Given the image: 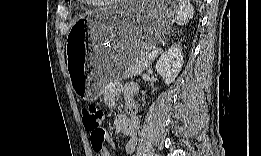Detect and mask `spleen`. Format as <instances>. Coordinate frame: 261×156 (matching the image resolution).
I'll list each match as a JSON object with an SVG mask.
<instances>
[{"instance_id":"spleen-1","label":"spleen","mask_w":261,"mask_h":156,"mask_svg":"<svg viewBox=\"0 0 261 156\" xmlns=\"http://www.w3.org/2000/svg\"><path fill=\"white\" fill-rule=\"evenodd\" d=\"M178 6L179 8L175 21L178 25H184L193 18L194 8L188 0H180Z\"/></svg>"}]
</instances>
